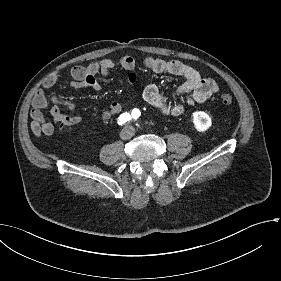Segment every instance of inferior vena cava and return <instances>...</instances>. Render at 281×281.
I'll return each mask as SVG.
<instances>
[{
	"mask_svg": "<svg viewBox=\"0 0 281 281\" xmlns=\"http://www.w3.org/2000/svg\"><path fill=\"white\" fill-rule=\"evenodd\" d=\"M122 139H129L134 135V129L130 126L124 127L120 133Z\"/></svg>",
	"mask_w": 281,
	"mask_h": 281,
	"instance_id": "1",
	"label": "inferior vena cava"
}]
</instances>
